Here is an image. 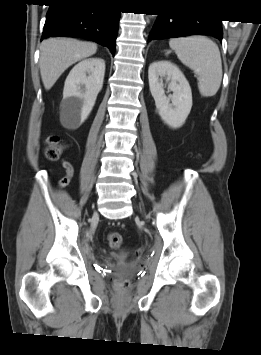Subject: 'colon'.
Wrapping results in <instances>:
<instances>
[{"label":"colon","mask_w":261,"mask_h":355,"mask_svg":"<svg viewBox=\"0 0 261 355\" xmlns=\"http://www.w3.org/2000/svg\"><path fill=\"white\" fill-rule=\"evenodd\" d=\"M61 151H62V146L59 142L58 137L57 136L49 137L48 146L46 147L44 152L45 157L51 161L57 160L61 155ZM71 176L72 173L70 171H67L66 176L59 181V186L63 187L67 185L70 181ZM122 241H123L122 236L118 232H111L107 235V243L113 249L120 248L122 245ZM127 285L128 283L126 281H121L118 283V287L121 289L126 288Z\"/></svg>","instance_id":"colon-1"}]
</instances>
